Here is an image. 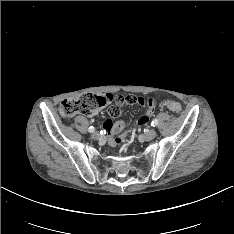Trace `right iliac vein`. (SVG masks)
<instances>
[{"instance_id":"63e3f726","label":"right iliac vein","mask_w":234,"mask_h":234,"mask_svg":"<svg viewBox=\"0 0 234 234\" xmlns=\"http://www.w3.org/2000/svg\"><path fill=\"white\" fill-rule=\"evenodd\" d=\"M100 137H101V135H100L99 132H94V133L92 134V138L95 139V140H98Z\"/></svg>"}]
</instances>
